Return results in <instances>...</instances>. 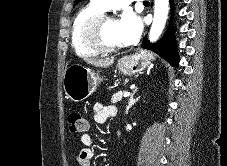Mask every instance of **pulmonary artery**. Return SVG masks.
Masks as SVG:
<instances>
[{
  "mask_svg": "<svg viewBox=\"0 0 227 166\" xmlns=\"http://www.w3.org/2000/svg\"><path fill=\"white\" fill-rule=\"evenodd\" d=\"M92 1H94L101 9L106 11L110 9L123 8L125 6L130 5L134 0H92Z\"/></svg>",
  "mask_w": 227,
  "mask_h": 166,
  "instance_id": "1",
  "label": "pulmonary artery"
}]
</instances>
